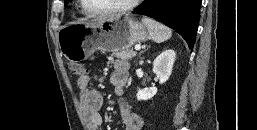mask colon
<instances>
[{
	"label": "colon",
	"instance_id": "colon-1",
	"mask_svg": "<svg viewBox=\"0 0 257 130\" xmlns=\"http://www.w3.org/2000/svg\"><path fill=\"white\" fill-rule=\"evenodd\" d=\"M68 68L70 70V72L77 76V77H82L86 74V69L84 68L83 65L76 63V62H70L68 64Z\"/></svg>",
	"mask_w": 257,
	"mask_h": 130
}]
</instances>
